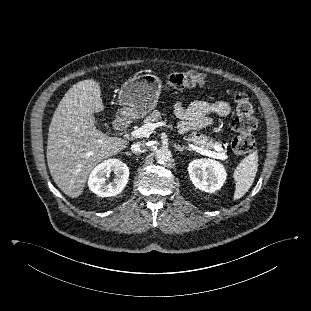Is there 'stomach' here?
Masks as SVG:
<instances>
[{"label":"stomach","mask_w":311,"mask_h":311,"mask_svg":"<svg viewBox=\"0 0 311 311\" xmlns=\"http://www.w3.org/2000/svg\"><path fill=\"white\" fill-rule=\"evenodd\" d=\"M160 79L144 74L129 79L119 92V113L124 117L140 118L156 107L161 92Z\"/></svg>","instance_id":"stomach-1"}]
</instances>
